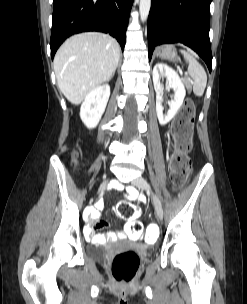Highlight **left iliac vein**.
Segmentation results:
<instances>
[{
    "label": "left iliac vein",
    "mask_w": 247,
    "mask_h": 304,
    "mask_svg": "<svg viewBox=\"0 0 247 304\" xmlns=\"http://www.w3.org/2000/svg\"><path fill=\"white\" fill-rule=\"evenodd\" d=\"M132 184L140 189L150 192V194L152 196L156 216L158 219H162L163 218V208H162L161 202H160L159 198L152 192L151 187L148 184V182L146 181V179L143 178L142 176H139V177L135 178L134 180H132Z\"/></svg>",
    "instance_id": "left-iliac-vein-1"
}]
</instances>
